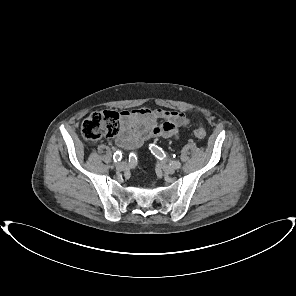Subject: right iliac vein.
<instances>
[{
  "mask_svg": "<svg viewBox=\"0 0 296 296\" xmlns=\"http://www.w3.org/2000/svg\"><path fill=\"white\" fill-rule=\"evenodd\" d=\"M127 165L125 162H121L117 165V170L118 171H124L126 169Z\"/></svg>",
  "mask_w": 296,
  "mask_h": 296,
  "instance_id": "obj_1",
  "label": "right iliac vein"
}]
</instances>
